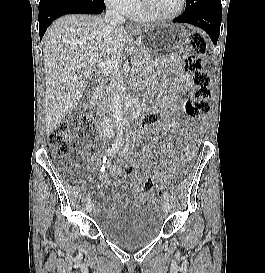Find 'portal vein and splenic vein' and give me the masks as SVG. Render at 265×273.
Segmentation results:
<instances>
[{"mask_svg": "<svg viewBox=\"0 0 265 273\" xmlns=\"http://www.w3.org/2000/svg\"><path fill=\"white\" fill-rule=\"evenodd\" d=\"M90 65H96L100 70L103 71H119V69L121 68L120 62L117 60H106V61H100L99 57H92L89 60ZM138 68L137 67H132V71H136Z\"/></svg>", "mask_w": 265, "mask_h": 273, "instance_id": "portal-vein-and-splenic-vein-1", "label": "portal vein and splenic vein"}]
</instances>
